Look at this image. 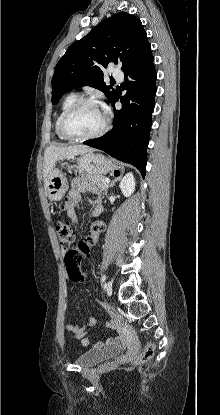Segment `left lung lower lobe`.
Returning <instances> with one entry per match:
<instances>
[{
    "instance_id": "1",
    "label": "left lung lower lobe",
    "mask_w": 220,
    "mask_h": 415,
    "mask_svg": "<svg viewBox=\"0 0 220 415\" xmlns=\"http://www.w3.org/2000/svg\"><path fill=\"white\" fill-rule=\"evenodd\" d=\"M153 61L154 57L151 56L143 64L124 71L123 84L127 92L120 98L115 93L110 100L113 107L119 99L122 103L120 110L114 107L112 130L100 138L84 142L120 161L132 164L143 177L146 172V149L156 94L157 75Z\"/></svg>"
}]
</instances>
